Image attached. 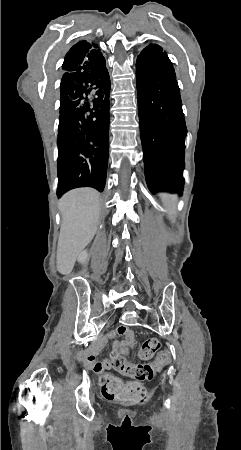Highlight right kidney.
<instances>
[{
    "label": "right kidney",
    "mask_w": 241,
    "mask_h": 450,
    "mask_svg": "<svg viewBox=\"0 0 241 450\" xmlns=\"http://www.w3.org/2000/svg\"><path fill=\"white\" fill-rule=\"evenodd\" d=\"M88 258L87 250H83L81 254L78 256V262H81V264H84Z\"/></svg>",
    "instance_id": "1"
}]
</instances>
